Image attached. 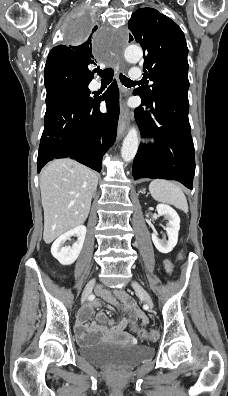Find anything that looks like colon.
<instances>
[{
    "mask_svg": "<svg viewBox=\"0 0 228 396\" xmlns=\"http://www.w3.org/2000/svg\"><path fill=\"white\" fill-rule=\"evenodd\" d=\"M132 329L138 331L141 335H143L149 341H155L158 339V336H159L157 330H154V329L149 330V331H143V330L139 329L136 325H133Z\"/></svg>",
    "mask_w": 228,
    "mask_h": 396,
    "instance_id": "5ec220e1",
    "label": "colon"
}]
</instances>
